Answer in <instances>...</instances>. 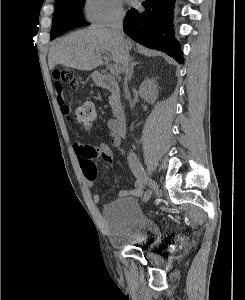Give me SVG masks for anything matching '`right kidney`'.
I'll list each match as a JSON object with an SVG mask.
<instances>
[{"instance_id": "1", "label": "right kidney", "mask_w": 245, "mask_h": 300, "mask_svg": "<svg viewBox=\"0 0 245 300\" xmlns=\"http://www.w3.org/2000/svg\"><path fill=\"white\" fill-rule=\"evenodd\" d=\"M140 96L149 103H154L158 96L157 84L155 79L147 78L139 88Z\"/></svg>"}]
</instances>
